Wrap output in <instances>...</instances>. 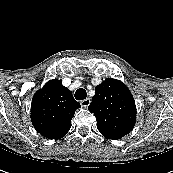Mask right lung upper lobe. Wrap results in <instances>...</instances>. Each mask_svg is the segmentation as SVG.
Instances as JSON below:
<instances>
[{
    "instance_id": "1",
    "label": "right lung upper lobe",
    "mask_w": 173,
    "mask_h": 173,
    "mask_svg": "<svg viewBox=\"0 0 173 173\" xmlns=\"http://www.w3.org/2000/svg\"><path fill=\"white\" fill-rule=\"evenodd\" d=\"M80 107L61 80L53 79L35 93L31 103V121L44 137L60 139L70 130L71 119Z\"/></svg>"
}]
</instances>
